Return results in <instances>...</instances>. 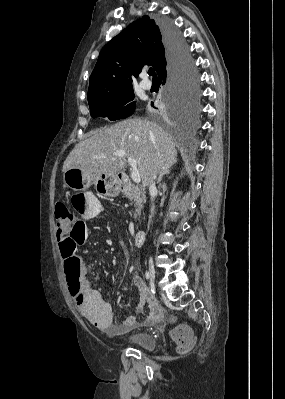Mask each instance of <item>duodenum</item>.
<instances>
[{
	"label": "duodenum",
	"instance_id": "obj_1",
	"mask_svg": "<svg viewBox=\"0 0 285 399\" xmlns=\"http://www.w3.org/2000/svg\"><path fill=\"white\" fill-rule=\"evenodd\" d=\"M147 232L144 229L136 231L134 235V243L136 245H141L146 239Z\"/></svg>",
	"mask_w": 285,
	"mask_h": 399
}]
</instances>
